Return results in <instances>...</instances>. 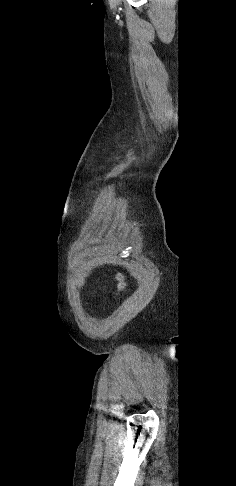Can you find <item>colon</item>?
Returning <instances> with one entry per match:
<instances>
[{"instance_id": "5ec220e1", "label": "colon", "mask_w": 236, "mask_h": 486, "mask_svg": "<svg viewBox=\"0 0 236 486\" xmlns=\"http://www.w3.org/2000/svg\"><path fill=\"white\" fill-rule=\"evenodd\" d=\"M116 278H117V289L115 292V296L119 297L121 293L124 291L126 284H125L124 277L121 273H118Z\"/></svg>"}]
</instances>
